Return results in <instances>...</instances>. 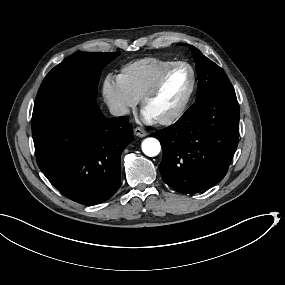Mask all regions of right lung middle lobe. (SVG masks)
<instances>
[{
    "label": "right lung middle lobe",
    "mask_w": 285,
    "mask_h": 285,
    "mask_svg": "<svg viewBox=\"0 0 285 285\" xmlns=\"http://www.w3.org/2000/svg\"><path fill=\"white\" fill-rule=\"evenodd\" d=\"M120 52H77L55 66L44 78L35 104L58 93L75 90L97 96V85L103 68Z\"/></svg>",
    "instance_id": "dd1d6c3e"
}]
</instances>
